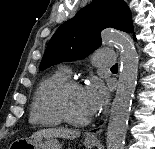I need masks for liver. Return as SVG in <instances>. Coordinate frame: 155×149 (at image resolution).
<instances>
[{"label":"liver","instance_id":"liver-1","mask_svg":"<svg viewBox=\"0 0 155 149\" xmlns=\"http://www.w3.org/2000/svg\"><path fill=\"white\" fill-rule=\"evenodd\" d=\"M42 135L65 139H75L80 136V131L71 130L67 128H48L33 133L31 138H35Z\"/></svg>","mask_w":155,"mask_h":149}]
</instances>
